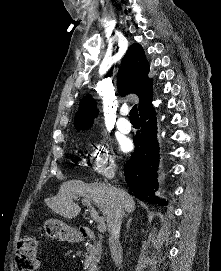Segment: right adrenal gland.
Listing matches in <instances>:
<instances>
[{"instance_id":"2a0ac1e0","label":"right adrenal gland","mask_w":221,"mask_h":271,"mask_svg":"<svg viewBox=\"0 0 221 271\" xmlns=\"http://www.w3.org/2000/svg\"><path fill=\"white\" fill-rule=\"evenodd\" d=\"M132 219H133V217H131V219H128V221L126 223V229H127V231H129V229H130V225H131Z\"/></svg>"}]
</instances>
